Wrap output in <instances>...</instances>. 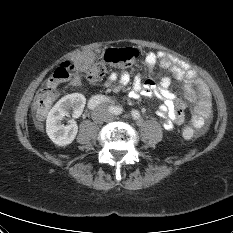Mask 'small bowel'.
I'll return each mask as SVG.
<instances>
[{
    "instance_id": "small-bowel-1",
    "label": "small bowel",
    "mask_w": 233,
    "mask_h": 233,
    "mask_svg": "<svg viewBox=\"0 0 233 233\" xmlns=\"http://www.w3.org/2000/svg\"><path fill=\"white\" fill-rule=\"evenodd\" d=\"M145 65L152 69L157 63L164 69L170 71L175 78L184 81L185 97L195 106L191 112V121L196 128H205L206 121L211 114V94L206 83L190 67L175 61L163 51L149 52L145 56ZM90 63V58L80 56L77 58V64L81 71L86 70ZM80 78L76 75L72 83L78 85ZM131 82L130 74L122 69L112 72L107 77L104 85L117 91ZM170 78L165 76L160 81H143L137 74L133 79V87L130 93L132 98L139 96H156L161 100V105L157 111L159 118L163 120V126L171 130L175 125L184 121L185 103L178 99L176 94L170 89Z\"/></svg>"
}]
</instances>
